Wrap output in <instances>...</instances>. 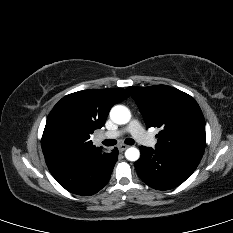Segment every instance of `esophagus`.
Wrapping results in <instances>:
<instances>
[{
  "label": "esophagus",
  "instance_id": "1",
  "mask_svg": "<svg viewBox=\"0 0 233 233\" xmlns=\"http://www.w3.org/2000/svg\"><path fill=\"white\" fill-rule=\"evenodd\" d=\"M128 147H129L128 145L120 144V145L118 146V150H119L120 152H122V151L126 150Z\"/></svg>",
  "mask_w": 233,
  "mask_h": 233
}]
</instances>
